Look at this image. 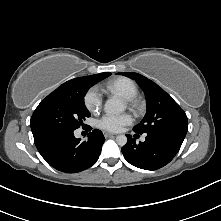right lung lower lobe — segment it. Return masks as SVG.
Wrapping results in <instances>:
<instances>
[{
	"label": "right lung lower lobe",
	"mask_w": 221,
	"mask_h": 221,
	"mask_svg": "<svg viewBox=\"0 0 221 221\" xmlns=\"http://www.w3.org/2000/svg\"><path fill=\"white\" fill-rule=\"evenodd\" d=\"M74 130L52 128L33 133L41 156L61 172L77 173L91 167L98 160L105 141L98 129L89 132L84 142L74 137Z\"/></svg>",
	"instance_id": "obj_1"
}]
</instances>
